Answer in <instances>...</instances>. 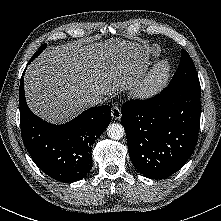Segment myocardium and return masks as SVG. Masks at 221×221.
I'll list each match as a JSON object with an SVG mask.
<instances>
[{
  "instance_id": "f54148a6",
  "label": "myocardium",
  "mask_w": 221,
  "mask_h": 221,
  "mask_svg": "<svg viewBox=\"0 0 221 221\" xmlns=\"http://www.w3.org/2000/svg\"><path fill=\"white\" fill-rule=\"evenodd\" d=\"M169 74V62L166 59L159 60L136 85L134 95L141 100L156 97L166 86Z\"/></svg>"
}]
</instances>
